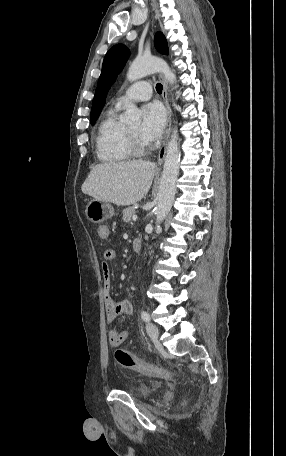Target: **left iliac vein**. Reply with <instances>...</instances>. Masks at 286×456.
<instances>
[{
    "mask_svg": "<svg viewBox=\"0 0 286 456\" xmlns=\"http://www.w3.org/2000/svg\"><path fill=\"white\" fill-rule=\"evenodd\" d=\"M146 331L152 339H157L159 335L158 327L153 323H147Z\"/></svg>",
    "mask_w": 286,
    "mask_h": 456,
    "instance_id": "left-iliac-vein-1",
    "label": "left iliac vein"
}]
</instances>
